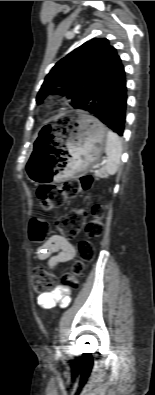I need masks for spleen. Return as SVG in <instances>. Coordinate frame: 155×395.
<instances>
[{"label": "spleen", "instance_id": "3e777b00", "mask_svg": "<svg viewBox=\"0 0 155 395\" xmlns=\"http://www.w3.org/2000/svg\"><path fill=\"white\" fill-rule=\"evenodd\" d=\"M105 153L107 155V162L104 167L105 172L107 174L114 175L119 168L122 154V143L119 136L111 130L107 131Z\"/></svg>", "mask_w": 155, "mask_h": 395}]
</instances>
